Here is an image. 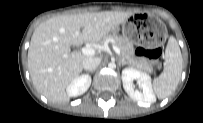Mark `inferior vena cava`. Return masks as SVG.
I'll use <instances>...</instances> for the list:
<instances>
[{
	"label": "inferior vena cava",
	"instance_id": "obj_1",
	"mask_svg": "<svg viewBox=\"0 0 203 123\" xmlns=\"http://www.w3.org/2000/svg\"><path fill=\"white\" fill-rule=\"evenodd\" d=\"M101 62V58L98 57H89L83 60L82 67L87 70H95Z\"/></svg>",
	"mask_w": 203,
	"mask_h": 123
}]
</instances>
